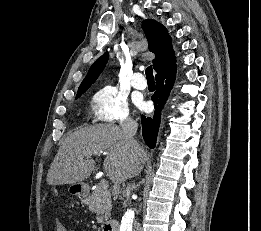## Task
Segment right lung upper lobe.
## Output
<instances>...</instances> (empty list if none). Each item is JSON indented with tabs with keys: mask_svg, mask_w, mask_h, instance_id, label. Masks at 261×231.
Returning <instances> with one entry per match:
<instances>
[{
	"mask_svg": "<svg viewBox=\"0 0 261 231\" xmlns=\"http://www.w3.org/2000/svg\"><path fill=\"white\" fill-rule=\"evenodd\" d=\"M143 30L149 43V50L155 54L153 60L156 75L176 66L175 54L170 35L166 28L155 20H146ZM108 60V53L102 55L90 67L87 76L79 86L78 93L85 92L95 82L104 69Z\"/></svg>",
	"mask_w": 261,
	"mask_h": 231,
	"instance_id": "right-lung-upper-lobe-1",
	"label": "right lung upper lobe"
}]
</instances>
